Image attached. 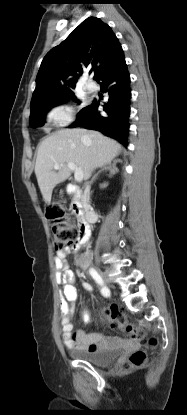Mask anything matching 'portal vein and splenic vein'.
<instances>
[{"instance_id":"obj_1","label":"portal vein and splenic vein","mask_w":187,"mask_h":415,"mask_svg":"<svg viewBox=\"0 0 187 415\" xmlns=\"http://www.w3.org/2000/svg\"><path fill=\"white\" fill-rule=\"evenodd\" d=\"M67 166L69 169L74 171V177L77 182H81L83 180V171L82 169L78 168L73 162H68ZM60 166L58 164L54 165V169L58 170Z\"/></svg>"}]
</instances>
